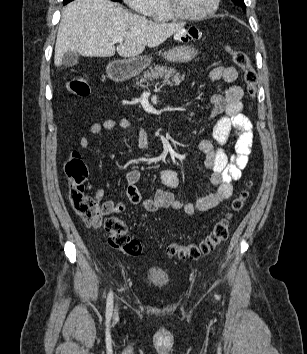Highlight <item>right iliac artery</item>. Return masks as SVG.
<instances>
[{
	"label": "right iliac artery",
	"instance_id": "right-iliac-artery-1",
	"mask_svg": "<svg viewBox=\"0 0 307 354\" xmlns=\"http://www.w3.org/2000/svg\"><path fill=\"white\" fill-rule=\"evenodd\" d=\"M113 311V294L110 292L107 298V305H106V319L110 321Z\"/></svg>",
	"mask_w": 307,
	"mask_h": 354
}]
</instances>
